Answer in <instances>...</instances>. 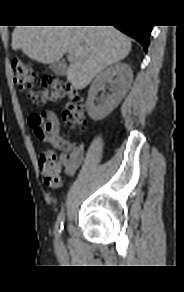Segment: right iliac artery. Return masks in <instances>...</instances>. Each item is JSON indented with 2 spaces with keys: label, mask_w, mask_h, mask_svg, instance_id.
<instances>
[{
  "label": "right iliac artery",
  "mask_w": 184,
  "mask_h": 292,
  "mask_svg": "<svg viewBox=\"0 0 184 292\" xmlns=\"http://www.w3.org/2000/svg\"><path fill=\"white\" fill-rule=\"evenodd\" d=\"M64 212L62 211L59 216H58V219H57V222H56V235L57 237H60L61 234H62V231H63V220H64Z\"/></svg>",
  "instance_id": "1"
}]
</instances>
